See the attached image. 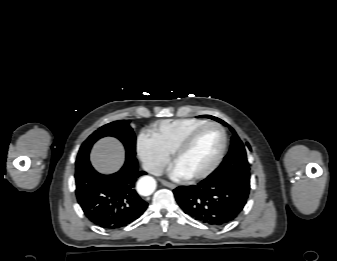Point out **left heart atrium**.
<instances>
[{
  "label": "left heart atrium",
  "instance_id": "obj_1",
  "mask_svg": "<svg viewBox=\"0 0 337 261\" xmlns=\"http://www.w3.org/2000/svg\"><path fill=\"white\" fill-rule=\"evenodd\" d=\"M171 176L175 179L187 178V175L184 174L176 165L171 170Z\"/></svg>",
  "mask_w": 337,
  "mask_h": 261
}]
</instances>
